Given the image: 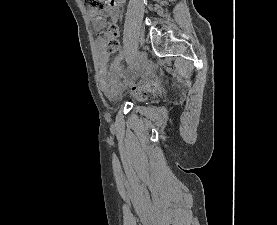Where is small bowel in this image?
Listing matches in <instances>:
<instances>
[{"label":"small bowel","instance_id":"c3829d8e","mask_svg":"<svg viewBox=\"0 0 277 225\" xmlns=\"http://www.w3.org/2000/svg\"><path fill=\"white\" fill-rule=\"evenodd\" d=\"M121 7L119 5L109 8V15L112 23H116L119 17ZM92 15V14H91ZM99 19H95V23H98ZM126 57V52L120 51L115 59L108 66L109 55L103 49L101 44L98 45V77L102 91L106 95H110L121 89L123 84L128 81V75L123 70L121 61ZM130 71L133 73V78L141 75L144 80L154 83L152 76L153 71L151 69L131 67Z\"/></svg>","mask_w":277,"mask_h":225}]
</instances>
